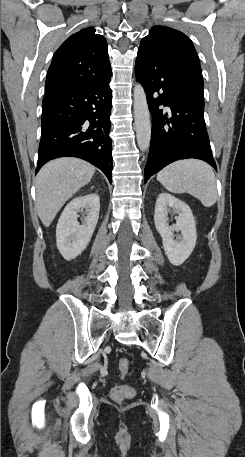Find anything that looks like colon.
I'll return each instance as SVG.
<instances>
[{
  "label": "colon",
  "mask_w": 245,
  "mask_h": 457,
  "mask_svg": "<svg viewBox=\"0 0 245 457\" xmlns=\"http://www.w3.org/2000/svg\"><path fill=\"white\" fill-rule=\"evenodd\" d=\"M118 368L122 376L129 374V362L126 358H121L118 361ZM134 390L129 386L118 385L112 388L111 397L116 402H122L127 397H131Z\"/></svg>",
  "instance_id": "5ec220e1"
}]
</instances>
